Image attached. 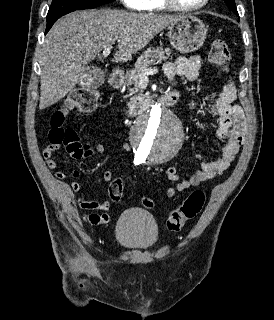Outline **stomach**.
<instances>
[{
	"label": "stomach",
	"instance_id": "obj_1",
	"mask_svg": "<svg viewBox=\"0 0 274 320\" xmlns=\"http://www.w3.org/2000/svg\"><path fill=\"white\" fill-rule=\"evenodd\" d=\"M168 30L170 44L180 54L196 52L203 46L207 36L205 24L192 14L181 16L179 20L170 24Z\"/></svg>",
	"mask_w": 274,
	"mask_h": 320
}]
</instances>
